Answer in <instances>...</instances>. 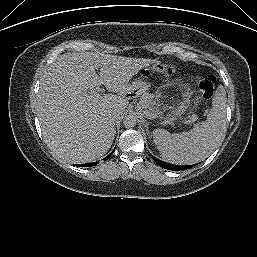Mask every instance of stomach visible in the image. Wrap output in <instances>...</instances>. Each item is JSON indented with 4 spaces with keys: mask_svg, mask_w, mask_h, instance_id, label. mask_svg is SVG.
I'll return each instance as SVG.
<instances>
[{
    "mask_svg": "<svg viewBox=\"0 0 257 257\" xmlns=\"http://www.w3.org/2000/svg\"><path fill=\"white\" fill-rule=\"evenodd\" d=\"M150 87V84L145 81H137L132 85V88L134 91H136L138 94H143L146 92Z\"/></svg>",
    "mask_w": 257,
    "mask_h": 257,
    "instance_id": "stomach-1",
    "label": "stomach"
}]
</instances>
